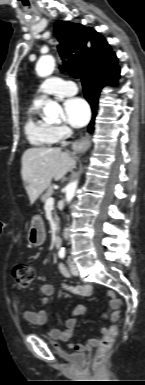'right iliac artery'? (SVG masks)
<instances>
[{"mask_svg":"<svg viewBox=\"0 0 145 385\" xmlns=\"http://www.w3.org/2000/svg\"><path fill=\"white\" fill-rule=\"evenodd\" d=\"M65 254H66V253H65L64 250H60V251H59V257H60V258H64V257H65Z\"/></svg>","mask_w":145,"mask_h":385,"instance_id":"1","label":"right iliac artery"}]
</instances>
